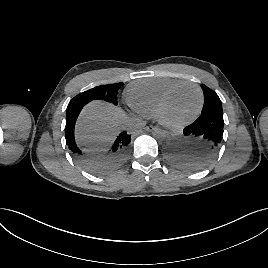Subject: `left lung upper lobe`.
Returning a JSON list of instances; mask_svg holds the SVG:
<instances>
[{
  "label": "left lung upper lobe",
  "instance_id": "1",
  "mask_svg": "<svg viewBox=\"0 0 268 268\" xmlns=\"http://www.w3.org/2000/svg\"><path fill=\"white\" fill-rule=\"evenodd\" d=\"M204 92L205 102L202 110V114L209 112L223 113L222 103L218 95L205 85H201Z\"/></svg>",
  "mask_w": 268,
  "mask_h": 268
}]
</instances>
